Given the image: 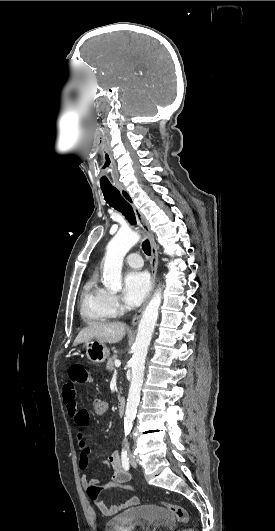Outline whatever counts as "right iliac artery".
<instances>
[{
    "instance_id": "1",
    "label": "right iliac artery",
    "mask_w": 275,
    "mask_h": 531,
    "mask_svg": "<svg viewBox=\"0 0 275 531\" xmlns=\"http://www.w3.org/2000/svg\"><path fill=\"white\" fill-rule=\"evenodd\" d=\"M122 466L125 470H129V458L127 457V451L122 450L121 453Z\"/></svg>"
}]
</instances>
